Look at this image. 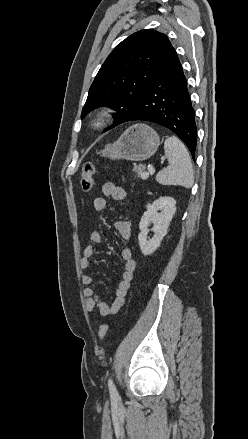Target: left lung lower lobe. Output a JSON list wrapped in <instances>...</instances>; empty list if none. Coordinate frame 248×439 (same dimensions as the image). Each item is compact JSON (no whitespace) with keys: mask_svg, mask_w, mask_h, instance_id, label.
Masks as SVG:
<instances>
[{"mask_svg":"<svg viewBox=\"0 0 248 439\" xmlns=\"http://www.w3.org/2000/svg\"><path fill=\"white\" fill-rule=\"evenodd\" d=\"M134 120L150 121L170 129L186 144L195 160V112L176 51L122 123Z\"/></svg>","mask_w":248,"mask_h":439,"instance_id":"0a47b994","label":"left lung lower lobe"}]
</instances>
